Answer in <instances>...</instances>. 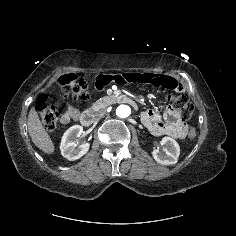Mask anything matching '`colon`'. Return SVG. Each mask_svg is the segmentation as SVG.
Instances as JSON below:
<instances>
[{"instance_id": "obj_1", "label": "colon", "mask_w": 236, "mask_h": 236, "mask_svg": "<svg viewBox=\"0 0 236 236\" xmlns=\"http://www.w3.org/2000/svg\"><path fill=\"white\" fill-rule=\"evenodd\" d=\"M102 76L103 75L98 76L95 81L97 88H99L98 81ZM110 82V80L106 82L105 86H107ZM62 85V99L65 101L69 99H86L89 95L90 85L88 80L85 78L70 76L63 81ZM170 100L172 102L173 109L180 112L182 119L189 120L193 117L194 106L190 102L187 95L182 94L173 98L171 97ZM36 111L38 112L43 125L48 130H53L56 127L60 117V112L56 106L48 102V98L46 96H42L37 100ZM196 134L197 132L195 127H191L188 132L189 139H194Z\"/></svg>"}]
</instances>
